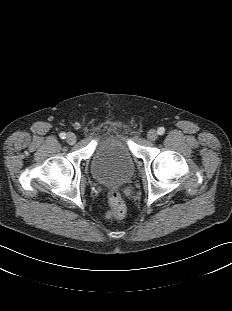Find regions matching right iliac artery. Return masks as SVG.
<instances>
[{"instance_id":"82829eb1","label":"right iliac artery","mask_w":232,"mask_h":311,"mask_svg":"<svg viewBox=\"0 0 232 311\" xmlns=\"http://www.w3.org/2000/svg\"><path fill=\"white\" fill-rule=\"evenodd\" d=\"M59 136H60V138L65 139L66 138V133L62 132V133H60Z\"/></svg>"}]
</instances>
